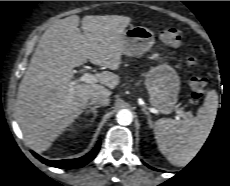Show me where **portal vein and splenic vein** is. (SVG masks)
I'll return each mask as SVG.
<instances>
[{
	"instance_id": "1",
	"label": "portal vein and splenic vein",
	"mask_w": 230,
	"mask_h": 186,
	"mask_svg": "<svg viewBox=\"0 0 230 186\" xmlns=\"http://www.w3.org/2000/svg\"><path fill=\"white\" fill-rule=\"evenodd\" d=\"M75 82H85L88 84H94L98 82V79L95 75H92L91 73L87 72V73H84L78 80L72 81L71 84L73 85L75 84ZM176 114L178 115V118L185 116L184 111L179 110V109L176 110Z\"/></svg>"
}]
</instances>
